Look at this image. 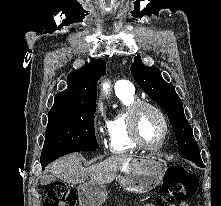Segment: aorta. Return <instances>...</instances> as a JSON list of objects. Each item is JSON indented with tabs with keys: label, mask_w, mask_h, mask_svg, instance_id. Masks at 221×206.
<instances>
[{
	"label": "aorta",
	"mask_w": 221,
	"mask_h": 206,
	"mask_svg": "<svg viewBox=\"0 0 221 206\" xmlns=\"http://www.w3.org/2000/svg\"><path fill=\"white\" fill-rule=\"evenodd\" d=\"M102 87H103V91L107 94L108 91H109V84H108V83H104V84L102 85Z\"/></svg>",
	"instance_id": "762f6f07"
}]
</instances>
